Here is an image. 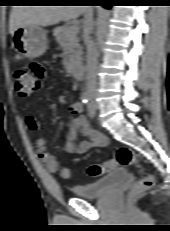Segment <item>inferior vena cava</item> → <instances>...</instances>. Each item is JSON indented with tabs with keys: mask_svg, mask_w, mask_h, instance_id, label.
I'll list each match as a JSON object with an SVG mask.
<instances>
[{
	"mask_svg": "<svg viewBox=\"0 0 170 231\" xmlns=\"http://www.w3.org/2000/svg\"><path fill=\"white\" fill-rule=\"evenodd\" d=\"M84 43L87 49V90L94 93L97 86V65L98 54L94 41L90 37L93 30V8L92 6L84 7Z\"/></svg>",
	"mask_w": 170,
	"mask_h": 231,
	"instance_id": "inferior-vena-cava-1",
	"label": "inferior vena cava"
}]
</instances>
